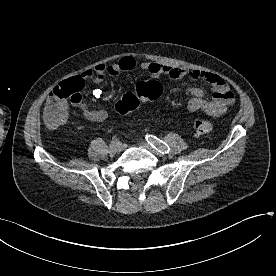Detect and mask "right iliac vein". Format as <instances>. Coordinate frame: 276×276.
Wrapping results in <instances>:
<instances>
[{"label":"right iliac vein","instance_id":"right-iliac-vein-1","mask_svg":"<svg viewBox=\"0 0 276 276\" xmlns=\"http://www.w3.org/2000/svg\"><path fill=\"white\" fill-rule=\"evenodd\" d=\"M121 150H122V146L121 145L120 146H110L109 153L111 155H114V154L120 152Z\"/></svg>","mask_w":276,"mask_h":276}]
</instances>
